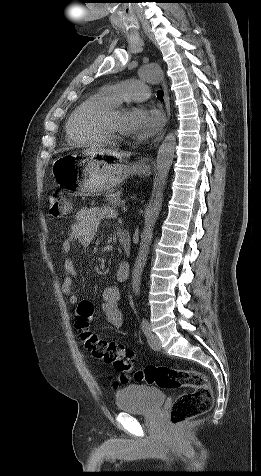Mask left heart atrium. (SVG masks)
I'll return each instance as SVG.
<instances>
[{
    "label": "left heart atrium",
    "mask_w": 261,
    "mask_h": 476,
    "mask_svg": "<svg viewBox=\"0 0 261 476\" xmlns=\"http://www.w3.org/2000/svg\"><path fill=\"white\" fill-rule=\"evenodd\" d=\"M163 117L156 109L135 107L127 112L126 126L128 133L138 138L154 135L162 126Z\"/></svg>",
    "instance_id": "39dd6f15"
}]
</instances>
